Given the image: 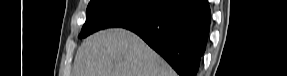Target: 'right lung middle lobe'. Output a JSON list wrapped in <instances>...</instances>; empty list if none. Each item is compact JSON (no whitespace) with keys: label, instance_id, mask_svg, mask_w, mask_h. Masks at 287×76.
<instances>
[{"label":"right lung middle lobe","instance_id":"1","mask_svg":"<svg viewBox=\"0 0 287 76\" xmlns=\"http://www.w3.org/2000/svg\"><path fill=\"white\" fill-rule=\"evenodd\" d=\"M167 0H91L79 38L106 28H128L151 19Z\"/></svg>","mask_w":287,"mask_h":76}]
</instances>
